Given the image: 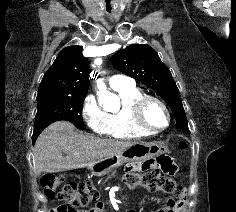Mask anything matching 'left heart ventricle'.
I'll return each mask as SVG.
<instances>
[{
	"instance_id": "b2bd125f",
	"label": "left heart ventricle",
	"mask_w": 236,
	"mask_h": 212,
	"mask_svg": "<svg viewBox=\"0 0 236 212\" xmlns=\"http://www.w3.org/2000/svg\"><path fill=\"white\" fill-rule=\"evenodd\" d=\"M147 121L154 127L160 128L166 125L167 118L163 109L155 104L151 103L146 112Z\"/></svg>"
}]
</instances>
